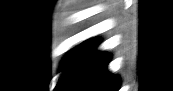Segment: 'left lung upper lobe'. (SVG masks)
Returning <instances> with one entry per match:
<instances>
[{"label":"left lung upper lobe","mask_w":173,"mask_h":91,"mask_svg":"<svg viewBox=\"0 0 173 91\" xmlns=\"http://www.w3.org/2000/svg\"><path fill=\"white\" fill-rule=\"evenodd\" d=\"M71 52L64 58L63 62H62V66H64L67 62V59L69 58Z\"/></svg>","instance_id":"5c2ea615"}]
</instances>
